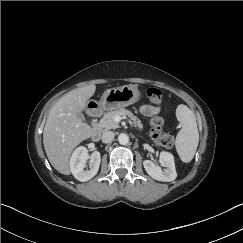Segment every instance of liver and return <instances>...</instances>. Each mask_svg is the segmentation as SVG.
Instances as JSON below:
<instances>
[{"label":"liver","mask_w":243,"mask_h":243,"mask_svg":"<svg viewBox=\"0 0 243 243\" xmlns=\"http://www.w3.org/2000/svg\"><path fill=\"white\" fill-rule=\"evenodd\" d=\"M96 91L94 84L76 88L63 95L47 117L43 144L51 165L69 175V159L73 149L94 134V129L78 116Z\"/></svg>","instance_id":"obj_1"}]
</instances>
